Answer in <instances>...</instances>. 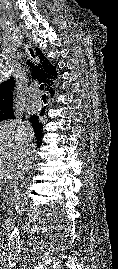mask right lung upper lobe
<instances>
[{"instance_id":"cb5924a9","label":"right lung upper lobe","mask_w":118,"mask_h":269,"mask_svg":"<svg viewBox=\"0 0 118 269\" xmlns=\"http://www.w3.org/2000/svg\"><path fill=\"white\" fill-rule=\"evenodd\" d=\"M36 57L38 61L36 66H33V63L28 61V64L32 68L33 79L39 78V82L44 83L45 86L48 87L47 90L54 94L52 88L49 89V87L53 84L52 80L57 77L56 68L44 57L43 53L39 49H36ZM14 87L15 82L13 77L0 84V107L12 105ZM44 112L45 108L41 110L40 115H42ZM30 121L33 124L36 135L38 137L42 136V124L38 121V116L33 115Z\"/></svg>"}]
</instances>
